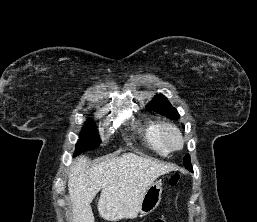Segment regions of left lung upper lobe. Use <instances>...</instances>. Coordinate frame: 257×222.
I'll return each instance as SVG.
<instances>
[{
  "mask_svg": "<svg viewBox=\"0 0 257 222\" xmlns=\"http://www.w3.org/2000/svg\"><path fill=\"white\" fill-rule=\"evenodd\" d=\"M147 107L150 110L162 114L170 119H178L180 117L177 110L171 106L167 98L162 94L156 95ZM184 166L189 170L192 169L189 154L184 158Z\"/></svg>",
  "mask_w": 257,
  "mask_h": 222,
  "instance_id": "5c2ea615",
  "label": "left lung upper lobe"
}]
</instances>
